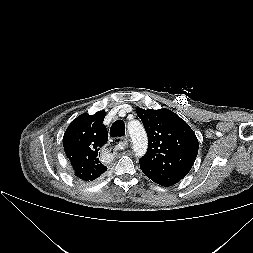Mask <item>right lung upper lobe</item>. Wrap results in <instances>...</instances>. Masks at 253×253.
Listing matches in <instances>:
<instances>
[{"mask_svg": "<svg viewBox=\"0 0 253 253\" xmlns=\"http://www.w3.org/2000/svg\"><path fill=\"white\" fill-rule=\"evenodd\" d=\"M104 117L105 111L83 113L70 123L63 137L64 151L75 175L85 182L99 179L107 170L99 161V150L108 140Z\"/></svg>", "mask_w": 253, "mask_h": 253, "instance_id": "obj_1", "label": "right lung upper lobe"}]
</instances>
